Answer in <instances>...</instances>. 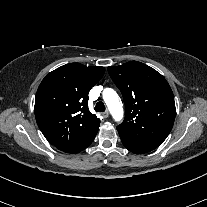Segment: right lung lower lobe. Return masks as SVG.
I'll list each match as a JSON object with an SVG mask.
<instances>
[{
  "instance_id": "obj_1",
  "label": "right lung lower lobe",
  "mask_w": 207,
  "mask_h": 207,
  "mask_svg": "<svg viewBox=\"0 0 207 207\" xmlns=\"http://www.w3.org/2000/svg\"><path fill=\"white\" fill-rule=\"evenodd\" d=\"M96 132L92 133L90 136H88L87 138H85L84 140H82L77 146H75L74 148L68 150V151H65L66 153H71V154H74V153H78L82 150H84L85 148H87L91 143L92 141L94 140L95 136H96Z\"/></svg>"
}]
</instances>
